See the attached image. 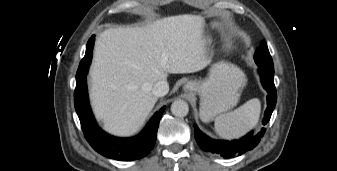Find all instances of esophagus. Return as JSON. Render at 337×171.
Returning a JSON list of instances; mask_svg holds the SVG:
<instances>
[{
	"mask_svg": "<svg viewBox=\"0 0 337 171\" xmlns=\"http://www.w3.org/2000/svg\"><path fill=\"white\" fill-rule=\"evenodd\" d=\"M184 88L185 89H189V88H191V86L190 85H185Z\"/></svg>",
	"mask_w": 337,
	"mask_h": 171,
	"instance_id": "obj_1",
	"label": "esophagus"
}]
</instances>
